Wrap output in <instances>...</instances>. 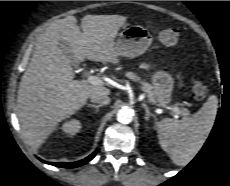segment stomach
Returning a JSON list of instances; mask_svg holds the SVG:
<instances>
[{
    "label": "stomach",
    "instance_id": "1",
    "mask_svg": "<svg viewBox=\"0 0 230 186\" xmlns=\"http://www.w3.org/2000/svg\"><path fill=\"white\" fill-rule=\"evenodd\" d=\"M152 38L150 32L142 26L133 25L125 28L116 41V58L113 63H117V56L134 58L142 55L151 45ZM154 99L162 107H167L172 100L174 88V78L163 70H157L151 75Z\"/></svg>",
    "mask_w": 230,
    "mask_h": 186
}]
</instances>
